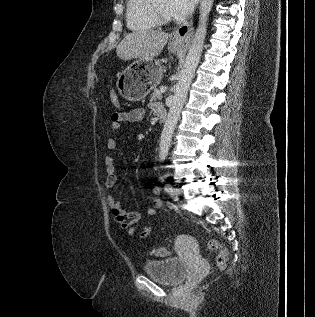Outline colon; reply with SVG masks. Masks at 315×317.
Here are the masks:
<instances>
[{
  "instance_id": "colon-1",
  "label": "colon",
  "mask_w": 315,
  "mask_h": 317,
  "mask_svg": "<svg viewBox=\"0 0 315 317\" xmlns=\"http://www.w3.org/2000/svg\"><path fill=\"white\" fill-rule=\"evenodd\" d=\"M111 100L115 106H118L119 102L115 93L111 95ZM209 248L217 253L216 263L218 267L223 268L229 257L228 249L222 243L214 239L209 241ZM152 253L158 257H166L169 254V250L165 246H159L154 248Z\"/></svg>"
}]
</instances>
